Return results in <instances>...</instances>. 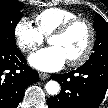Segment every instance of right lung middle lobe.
Here are the masks:
<instances>
[{
    "label": "right lung middle lobe",
    "mask_w": 108,
    "mask_h": 108,
    "mask_svg": "<svg viewBox=\"0 0 108 108\" xmlns=\"http://www.w3.org/2000/svg\"><path fill=\"white\" fill-rule=\"evenodd\" d=\"M24 7L22 2L16 0L0 1V42L16 46L14 32L16 25L22 18L20 10Z\"/></svg>",
    "instance_id": "obj_1"
}]
</instances>
